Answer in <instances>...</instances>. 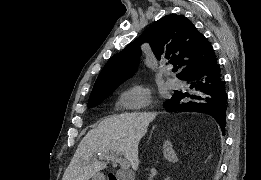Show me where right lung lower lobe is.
Instances as JSON below:
<instances>
[{
  "mask_svg": "<svg viewBox=\"0 0 261 180\" xmlns=\"http://www.w3.org/2000/svg\"><path fill=\"white\" fill-rule=\"evenodd\" d=\"M182 80L188 81L192 93L176 91L165 102L169 112L194 111L212 116L225 135L228 98L225 81L217 61L189 72Z\"/></svg>",
  "mask_w": 261,
  "mask_h": 180,
  "instance_id": "1",
  "label": "right lung lower lobe"
}]
</instances>
